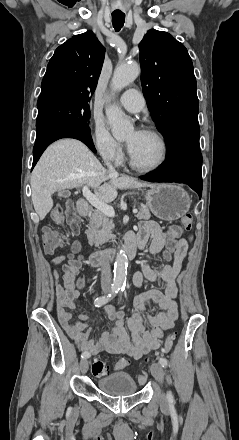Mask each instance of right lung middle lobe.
I'll return each instance as SVG.
<instances>
[{
	"label": "right lung middle lobe",
	"mask_w": 239,
	"mask_h": 440,
	"mask_svg": "<svg viewBox=\"0 0 239 440\" xmlns=\"http://www.w3.org/2000/svg\"><path fill=\"white\" fill-rule=\"evenodd\" d=\"M88 101L82 98L54 97L37 102L36 127L48 122H64L90 130Z\"/></svg>",
	"instance_id": "1"
}]
</instances>
